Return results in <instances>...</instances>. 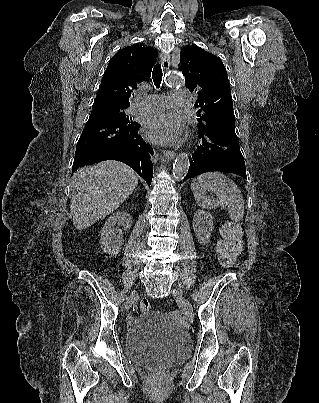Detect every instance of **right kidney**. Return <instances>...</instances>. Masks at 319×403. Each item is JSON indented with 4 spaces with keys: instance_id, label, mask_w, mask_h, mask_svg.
<instances>
[{
    "instance_id": "right-kidney-1",
    "label": "right kidney",
    "mask_w": 319,
    "mask_h": 403,
    "mask_svg": "<svg viewBox=\"0 0 319 403\" xmlns=\"http://www.w3.org/2000/svg\"><path fill=\"white\" fill-rule=\"evenodd\" d=\"M116 224L122 226L127 231L132 225V219L127 212L118 211L112 214L105 222L100 231L101 238L99 243L102 250L109 255L118 254L124 243L122 232H114Z\"/></svg>"
}]
</instances>
